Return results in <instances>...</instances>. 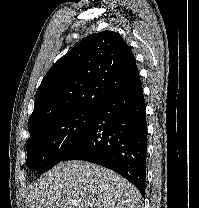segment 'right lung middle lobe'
Segmentation results:
<instances>
[{"mask_svg":"<svg viewBox=\"0 0 199 208\" xmlns=\"http://www.w3.org/2000/svg\"><path fill=\"white\" fill-rule=\"evenodd\" d=\"M96 107H81L54 116L30 130L26 142L28 167L43 173L62 161L82 138Z\"/></svg>","mask_w":199,"mask_h":208,"instance_id":"1","label":"right lung middle lobe"}]
</instances>
